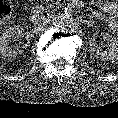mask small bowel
Segmentation results:
<instances>
[{
    "label": "small bowel",
    "mask_w": 118,
    "mask_h": 118,
    "mask_svg": "<svg viewBox=\"0 0 118 118\" xmlns=\"http://www.w3.org/2000/svg\"><path fill=\"white\" fill-rule=\"evenodd\" d=\"M113 30L118 33V19H116V24L113 25Z\"/></svg>",
    "instance_id": "1"
}]
</instances>
